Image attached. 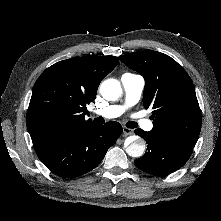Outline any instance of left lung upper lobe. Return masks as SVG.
<instances>
[{
    "mask_svg": "<svg viewBox=\"0 0 221 221\" xmlns=\"http://www.w3.org/2000/svg\"><path fill=\"white\" fill-rule=\"evenodd\" d=\"M145 79L143 105L153 109V135L193 148L201 130V111L193 82L166 54L144 50L120 56Z\"/></svg>",
    "mask_w": 221,
    "mask_h": 221,
    "instance_id": "obj_1",
    "label": "left lung upper lobe"
}]
</instances>
